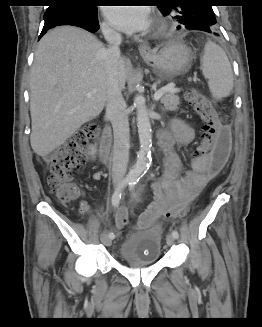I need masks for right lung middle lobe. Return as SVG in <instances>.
I'll return each mask as SVG.
<instances>
[{"label":"right lung middle lobe","mask_w":262,"mask_h":327,"mask_svg":"<svg viewBox=\"0 0 262 327\" xmlns=\"http://www.w3.org/2000/svg\"><path fill=\"white\" fill-rule=\"evenodd\" d=\"M59 1L71 4V3H74V1H76V0H59ZM77 7L84 8V9H89V8H95L96 6L95 5H79Z\"/></svg>","instance_id":"right-lung-middle-lobe-1"}]
</instances>
